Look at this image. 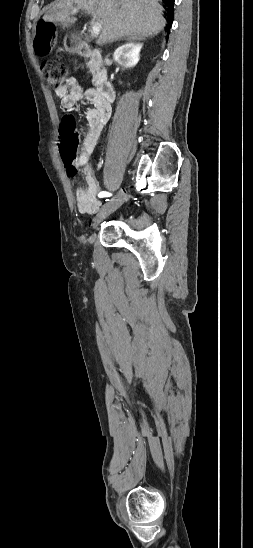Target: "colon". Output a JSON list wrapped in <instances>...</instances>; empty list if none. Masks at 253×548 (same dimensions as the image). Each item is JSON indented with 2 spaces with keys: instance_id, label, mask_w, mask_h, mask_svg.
Segmentation results:
<instances>
[{
  "instance_id": "colon-1",
  "label": "colon",
  "mask_w": 253,
  "mask_h": 548,
  "mask_svg": "<svg viewBox=\"0 0 253 548\" xmlns=\"http://www.w3.org/2000/svg\"><path fill=\"white\" fill-rule=\"evenodd\" d=\"M55 42V28L51 24L41 23L37 28L36 46L40 51H48ZM42 70L50 88L57 89L63 85L67 76V68L56 61H46ZM79 137L75 131L71 118H66L62 125L60 136V154L65 164L69 166L70 174L76 172L71 166L77 157Z\"/></svg>"
}]
</instances>
